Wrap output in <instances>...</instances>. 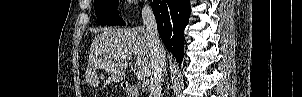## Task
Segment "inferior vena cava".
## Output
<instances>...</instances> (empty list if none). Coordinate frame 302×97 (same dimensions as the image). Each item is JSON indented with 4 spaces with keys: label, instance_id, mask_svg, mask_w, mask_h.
I'll return each mask as SVG.
<instances>
[{
    "label": "inferior vena cava",
    "instance_id": "inferior-vena-cava-1",
    "mask_svg": "<svg viewBox=\"0 0 302 97\" xmlns=\"http://www.w3.org/2000/svg\"><path fill=\"white\" fill-rule=\"evenodd\" d=\"M142 19L152 50L148 94L149 97H161V87L166 68V54L160 41L155 16L149 5L144 6L142 9Z\"/></svg>",
    "mask_w": 302,
    "mask_h": 97
}]
</instances>
